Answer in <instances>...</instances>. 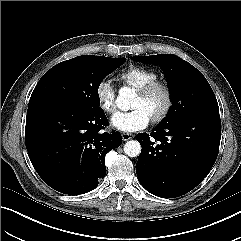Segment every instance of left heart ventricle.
Listing matches in <instances>:
<instances>
[{
    "instance_id": "left-heart-ventricle-1",
    "label": "left heart ventricle",
    "mask_w": 241,
    "mask_h": 241,
    "mask_svg": "<svg viewBox=\"0 0 241 241\" xmlns=\"http://www.w3.org/2000/svg\"><path fill=\"white\" fill-rule=\"evenodd\" d=\"M164 105V95L161 91H156L148 97H141L136 93L131 108H142L150 118L158 113Z\"/></svg>"
}]
</instances>
